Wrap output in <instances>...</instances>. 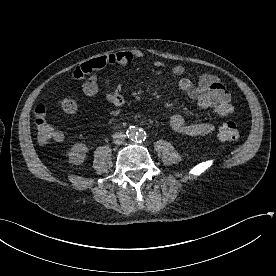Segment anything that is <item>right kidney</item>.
<instances>
[{"instance_id": "obj_1", "label": "right kidney", "mask_w": 276, "mask_h": 276, "mask_svg": "<svg viewBox=\"0 0 276 276\" xmlns=\"http://www.w3.org/2000/svg\"><path fill=\"white\" fill-rule=\"evenodd\" d=\"M87 151H88V148L85 144H82V143L74 144L71 147L70 152L68 153L69 162L75 165L82 164L86 158Z\"/></svg>"}]
</instances>
